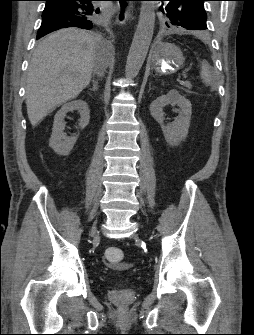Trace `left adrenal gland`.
Here are the masks:
<instances>
[{
  "label": "left adrenal gland",
  "instance_id": "a2214340",
  "mask_svg": "<svg viewBox=\"0 0 254 335\" xmlns=\"http://www.w3.org/2000/svg\"><path fill=\"white\" fill-rule=\"evenodd\" d=\"M152 88H151V83H149V90H148V92L151 90Z\"/></svg>",
  "mask_w": 254,
  "mask_h": 335
}]
</instances>
